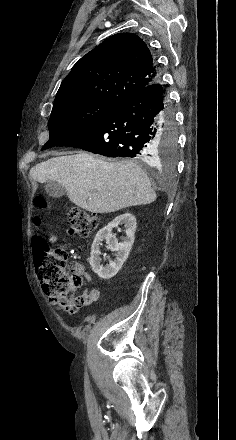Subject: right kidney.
Segmentation results:
<instances>
[{
  "label": "right kidney",
  "mask_w": 236,
  "mask_h": 440,
  "mask_svg": "<svg viewBox=\"0 0 236 440\" xmlns=\"http://www.w3.org/2000/svg\"><path fill=\"white\" fill-rule=\"evenodd\" d=\"M119 225H124L126 233L121 243L112 234V229ZM135 230L136 218L131 213H124L115 217L107 226L98 231L91 247L90 265L100 278L110 279L121 269L134 243ZM104 239H106L109 249L115 252V259L113 261L109 260V264L105 267L101 264L100 258V245Z\"/></svg>",
  "instance_id": "right-kidney-1"
}]
</instances>
